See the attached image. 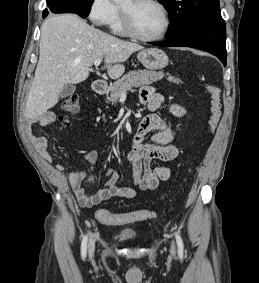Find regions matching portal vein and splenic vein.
Returning a JSON list of instances; mask_svg holds the SVG:
<instances>
[{
	"label": "portal vein and splenic vein",
	"instance_id": "portal-vein-and-splenic-vein-1",
	"mask_svg": "<svg viewBox=\"0 0 259 283\" xmlns=\"http://www.w3.org/2000/svg\"><path fill=\"white\" fill-rule=\"evenodd\" d=\"M100 64H101V59H96V60L94 61L95 67H98ZM124 93H125V92H124Z\"/></svg>",
	"mask_w": 259,
	"mask_h": 283
}]
</instances>
